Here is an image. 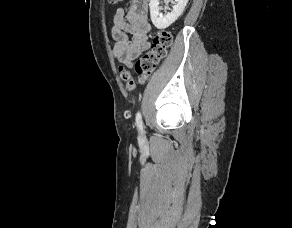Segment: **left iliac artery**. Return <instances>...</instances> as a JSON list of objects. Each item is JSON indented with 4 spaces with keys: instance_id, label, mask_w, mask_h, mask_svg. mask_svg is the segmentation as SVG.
I'll return each instance as SVG.
<instances>
[{
    "instance_id": "1",
    "label": "left iliac artery",
    "mask_w": 292,
    "mask_h": 228,
    "mask_svg": "<svg viewBox=\"0 0 292 228\" xmlns=\"http://www.w3.org/2000/svg\"><path fill=\"white\" fill-rule=\"evenodd\" d=\"M135 120H136L137 128L139 129V131H142L143 130V121H142V116H141L140 112H137Z\"/></svg>"
}]
</instances>
